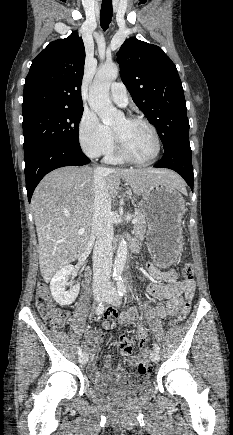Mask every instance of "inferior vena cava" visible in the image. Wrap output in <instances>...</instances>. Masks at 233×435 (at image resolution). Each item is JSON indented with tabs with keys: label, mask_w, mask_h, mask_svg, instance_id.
I'll return each mask as SVG.
<instances>
[{
	"label": "inferior vena cava",
	"mask_w": 233,
	"mask_h": 435,
	"mask_svg": "<svg viewBox=\"0 0 233 435\" xmlns=\"http://www.w3.org/2000/svg\"><path fill=\"white\" fill-rule=\"evenodd\" d=\"M108 168L96 167L94 176V206L91 233L97 236L93 250V288L109 282L112 267L113 225L110 220L111 197L103 178Z\"/></svg>",
	"instance_id": "inferior-vena-cava-1"
}]
</instances>
